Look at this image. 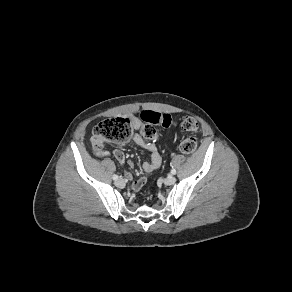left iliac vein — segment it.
I'll return each mask as SVG.
<instances>
[{
    "instance_id": "left-iliac-vein-1",
    "label": "left iliac vein",
    "mask_w": 292,
    "mask_h": 292,
    "mask_svg": "<svg viewBox=\"0 0 292 292\" xmlns=\"http://www.w3.org/2000/svg\"><path fill=\"white\" fill-rule=\"evenodd\" d=\"M175 182H176V178L173 176H168L167 178L164 179L165 185H173Z\"/></svg>"
}]
</instances>
